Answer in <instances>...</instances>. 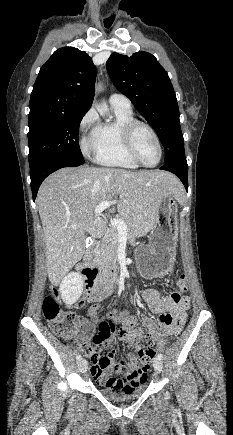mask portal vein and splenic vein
<instances>
[{"label":"portal vein and splenic vein","instance_id":"1","mask_svg":"<svg viewBox=\"0 0 233 435\" xmlns=\"http://www.w3.org/2000/svg\"><path fill=\"white\" fill-rule=\"evenodd\" d=\"M116 200L113 201H103L100 204H98V206L95 208V214L98 215L100 214L103 210H105L106 208H108L109 206H111L112 204H115ZM111 222L114 226H116V228L118 229L119 233L122 234H127V224L125 223V221L123 219H111Z\"/></svg>","mask_w":233,"mask_h":435}]
</instances>
